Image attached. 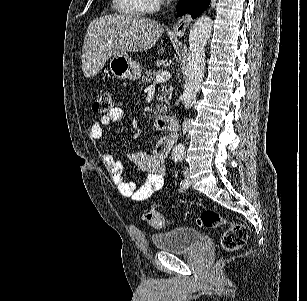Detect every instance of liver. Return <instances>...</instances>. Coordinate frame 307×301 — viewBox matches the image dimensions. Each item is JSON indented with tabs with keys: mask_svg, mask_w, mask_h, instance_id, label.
Wrapping results in <instances>:
<instances>
[{
	"mask_svg": "<svg viewBox=\"0 0 307 301\" xmlns=\"http://www.w3.org/2000/svg\"><path fill=\"white\" fill-rule=\"evenodd\" d=\"M164 26L157 20L134 14H106L90 22L82 50L84 76H95L112 54L142 52L156 44ZM165 48H159V54Z\"/></svg>",
	"mask_w": 307,
	"mask_h": 301,
	"instance_id": "obj_1",
	"label": "liver"
}]
</instances>
